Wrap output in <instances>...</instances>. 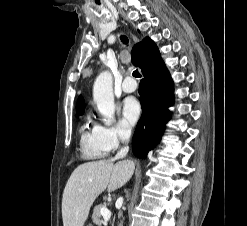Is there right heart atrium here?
Listing matches in <instances>:
<instances>
[{"label":"right heart atrium","instance_id":"obj_1","mask_svg":"<svg viewBox=\"0 0 247 226\" xmlns=\"http://www.w3.org/2000/svg\"><path fill=\"white\" fill-rule=\"evenodd\" d=\"M99 136L103 144L108 150L116 148L121 141H124L130 136V129L123 124L114 126H98Z\"/></svg>","mask_w":247,"mask_h":226}]
</instances>
